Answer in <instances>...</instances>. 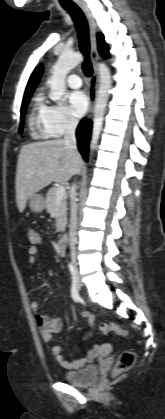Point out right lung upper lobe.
Segmentation results:
<instances>
[{"mask_svg":"<svg viewBox=\"0 0 165 419\" xmlns=\"http://www.w3.org/2000/svg\"><path fill=\"white\" fill-rule=\"evenodd\" d=\"M42 72H43L42 65H40V66H38V67L35 68V70L31 74L30 79L28 81V84H27V87H26V90H25L24 98L23 99H25V98H27V97H29V96L32 95L34 89L36 88V86H37V84H38V82L40 80V77L42 75Z\"/></svg>","mask_w":165,"mask_h":419,"instance_id":"cb5924a9","label":"right lung upper lobe"}]
</instances>
